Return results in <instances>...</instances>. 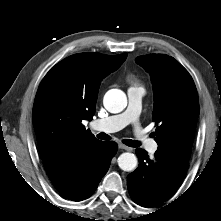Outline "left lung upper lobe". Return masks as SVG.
Here are the masks:
<instances>
[{"label": "left lung upper lobe", "mask_w": 221, "mask_h": 221, "mask_svg": "<svg viewBox=\"0 0 221 221\" xmlns=\"http://www.w3.org/2000/svg\"><path fill=\"white\" fill-rule=\"evenodd\" d=\"M137 63L150 73L154 90L153 121L158 150L189 160L199 115L198 94L188 71L173 57L139 56Z\"/></svg>", "instance_id": "obj_1"}]
</instances>
